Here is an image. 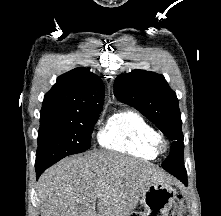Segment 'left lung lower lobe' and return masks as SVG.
Returning <instances> with one entry per match:
<instances>
[{"label": "left lung lower lobe", "instance_id": "1", "mask_svg": "<svg viewBox=\"0 0 221 216\" xmlns=\"http://www.w3.org/2000/svg\"><path fill=\"white\" fill-rule=\"evenodd\" d=\"M179 162H180V170L172 175L180 179L184 184H187V173L184 167L183 158H180Z\"/></svg>", "mask_w": 221, "mask_h": 216}]
</instances>
